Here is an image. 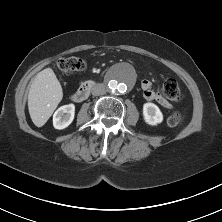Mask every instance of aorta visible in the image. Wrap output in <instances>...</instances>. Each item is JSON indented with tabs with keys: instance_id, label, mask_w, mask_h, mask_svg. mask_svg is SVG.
I'll list each match as a JSON object with an SVG mask.
<instances>
[{
	"instance_id": "aorta-1",
	"label": "aorta",
	"mask_w": 222,
	"mask_h": 222,
	"mask_svg": "<svg viewBox=\"0 0 222 222\" xmlns=\"http://www.w3.org/2000/svg\"><path fill=\"white\" fill-rule=\"evenodd\" d=\"M133 83V78L128 68H118L110 72L107 78V85L112 93H124Z\"/></svg>"
}]
</instances>
